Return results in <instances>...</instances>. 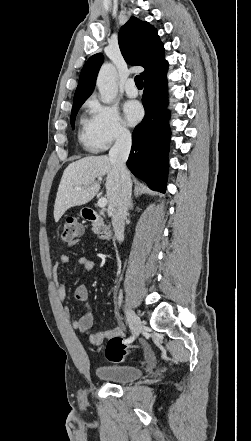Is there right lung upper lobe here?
<instances>
[{
  "label": "right lung upper lobe",
  "mask_w": 251,
  "mask_h": 441,
  "mask_svg": "<svg viewBox=\"0 0 251 441\" xmlns=\"http://www.w3.org/2000/svg\"><path fill=\"white\" fill-rule=\"evenodd\" d=\"M119 47L127 63L144 67V80L168 66L157 30L145 21L131 17L118 35ZM103 55L91 56L82 68L73 102L86 100L94 90Z\"/></svg>",
  "instance_id": "right-lung-upper-lobe-1"
}]
</instances>
